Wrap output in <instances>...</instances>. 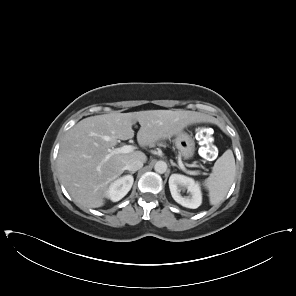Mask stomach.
Returning a JSON list of instances; mask_svg holds the SVG:
<instances>
[{
    "label": "stomach",
    "instance_id": "1",
    "mask_svg": "<svg viewBox=\"0 0 296 296\" xmlns=\"http://www.w3.org/2000/svg\"><path fill=\"white\" fill-rule=\"evenodd\" d=\"M175 145L180 155L185 159L193 157L195 152L194 139L186 132L181 131L175 137Z\"/></svg>",
    "mask_w": 296,
    "mask_h": 296
}]
</instances>
